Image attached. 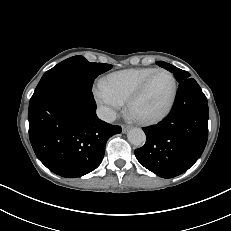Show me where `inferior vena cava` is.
<instances>
[{
	"label": "inferior vena cava",
	"mask_w": 231,
	"mask_h": 231,
	"mask_svg": "<svg viewBox=\"0 0 231 231\" xmlns=\"http://www.w3.org/2000/svg\"><path fill=\"white\" fill-rule=\"evenodd\" d=\"M96 113L97 116L105 122L110 123L116 120V112L111 108L101 106L97 108Z\"/></svg>",
	"instance_id": "1"
}]
</instances>
